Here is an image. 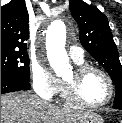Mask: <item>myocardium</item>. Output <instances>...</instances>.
I'll return each mask as SVG.
<instances>
[{
  "instance_id": "obj_1",
  "label": "myocardium",
  "mask_w": 122,
  "mask_h": 123,
  "mask_svg": "<svg viewBox=\"0 0 122 123\" xmlns=\"http://www.w3.org/2000/svg\"><path fill=\"white\" fill-rule=\"evenodd\" d=\"M91 71L101 74L109 85L108 97L100 103H90L81 98L79 94V86L85 75ZM115 93V87L110 75L102 68L91 65L82 64L78 65L73 71V78L71 80L63 81V94L64 98L71 104L87 107V108H100L107 105L113 98Z\"/></svg>"
}]
</instances>
